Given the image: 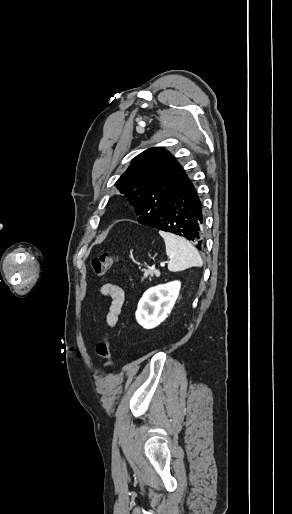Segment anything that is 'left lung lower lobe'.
Returning <instances> with one entry per match:
<instances>
[{
    "instance_id": "left-lung-lower-lobe-1",
    "label": "left lung lower lobe",
    "mask_w": 292,
    "mask_h": 514,
    "mask_svg": "<svg viewBox=\"0 0 292 514\" xmlns=\"http://www.w3.org/2000/svg\"><path fill=\"white\" fill-rule=\"evenodd\" d=\"M145 225L180 235L194 242L198 250H202L204 215L192 181L187 178L166 202L161 213Z\"/></svg>"
}]
</instances>
